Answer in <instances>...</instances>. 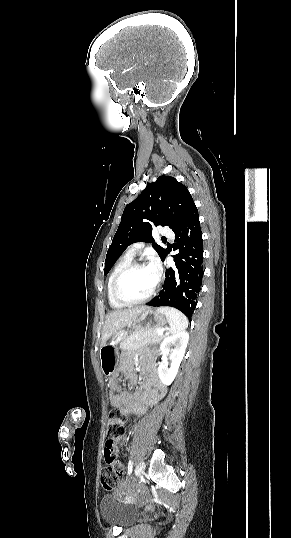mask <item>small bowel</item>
<instances>
[{"label": "small bowel", "instance_id": "c3829d8e", "mask_svg": "<svg viewBox=\"0 0 291 538\" xmlns=\"http://www.w3.org/2000/svg\"><path fill=\"white\" fill-rule=\"evenodd\" d=\"M120 370L132 384L136 382L132 362L126 354L122 356ZM144 376V384L135 393L123 391L118 384L117 376L111 377L108 380V398L111 406L118 408L124 415L143 414L146 405L157 397L160 384L158 375L152 367L144 369ZM116 442L123 446L126 444V437L121 435Z\"/></svg>", "mask_w": 291, "mask_h": 538}]
</instances>
